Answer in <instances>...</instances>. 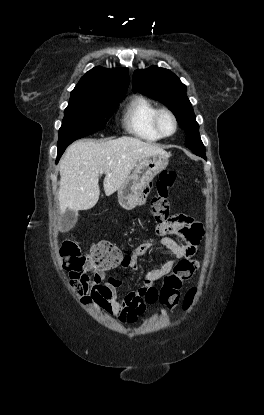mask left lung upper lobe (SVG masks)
<instances>
[{
  "label": "left lung upper lobe",
  "mask_w": 264,
  "mask_h": 415,
  "mask_svg": "<svg viewBox=\"0 0 264 415\" xmlns=\"http://www.w3.org/2000/svg\"><path fill=\"white\" fill-rule=\"evenodd\" d=\"M136 91L164 103L173 112L185 130L186 147L192 151L205 149L192 105L186 95V85L174 73L157 66L136 70L133 74V92Z\"/></svg>",
  "instance_id": "1"
}]
</instances>
